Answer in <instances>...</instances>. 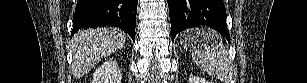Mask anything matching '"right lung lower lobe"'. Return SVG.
<instances>
[{"mask_svg":"<svg viewBox=\"0 0 307 83\" xmlns=\"http://www.w3.org/2000/svg\"><path fill=\"white\" fill-rule=\"evenodd\" d=\"M137 4L138 0H78L72 35L79 29L113 25L135 41Z\"/></svg>","mask_w":307,"mask_h":83,"instance_id":"1","label":"right lung lower lobe"}]
</instances>
